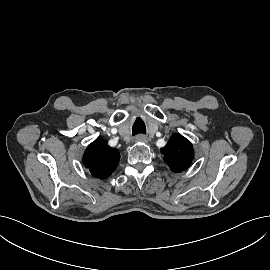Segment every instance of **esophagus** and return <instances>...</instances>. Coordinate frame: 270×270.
Here are the masks:
<instances>
[{
  "label": "esophagus",
  "instance_id": "34e87169",
  "mask_svg": "<svg viewBox=\"0 0 270 270\" xmlns=\"http://www.w3.org/2000/svg\"><path fill=\"white\" fill-rule=\"evenodd\" d=\"M148 141L147 137L143 134H139L135 137V142L146 143Z\"/></svg>",
  "mask_w": 270,
  "mask_h": 270
}]
</instances>
